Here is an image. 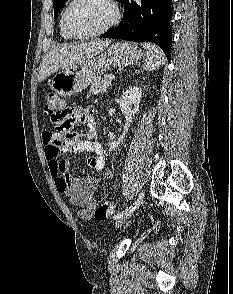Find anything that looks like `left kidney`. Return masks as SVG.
<instances>
[{"label": "left kidney", "instance_id": "left-kidney-1", "mask_svg": "<svg viewBox=\"0 0 233 294\" xmlns=\"http://www.w3.org/2000/svg\"><path fill=\"white\" fill-rule=\"evenodd\" d=\"M142 97V89L136 86L129 87L121 96L119 106L125 115V126L122 135L117 141L109 143L110 150H115L123 141L133 117L139 111L140 101Z\"/></svg>", "mask_w": 233, "mask_h": 294}]
</instances>
